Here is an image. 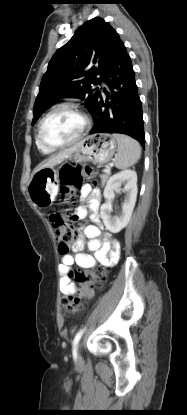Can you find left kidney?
Returning <instances> with one entry per match:
<instances>
[{"instance_id":"left-kidney-1","label":"left kidney","mask_w":187,"mask_h":415,"mask_svg":"<svg viewBox=\"0 0 187 415\" xmlns=\"http://www.w3.org/2000/svg\"><path fill=\"white\" fill-rule=\"evenodd\" d=\"M122 184H125L122 210L118 215L112 216V202L115 198V192L120 190ZM137 192V174L134 170H123L109 178L103 192L106 202L100 208V215L107 230L118 233L127 226L135 207Z\"/></svg>"}]
</instances>
